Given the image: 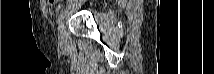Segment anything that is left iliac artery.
<instances>
[{
    "label": "left iliac artery",
    "mask_w": 214,
    "mask_h": 74,
    "mask_svg": "<svg viewBox=\"0 0 214 74\" xmlns=\"http://www.w3.org/2000/svg\"><path fill=\"white\" fill-rule=\"evenodd\" d=\"M65 12H66V10L64 9V10H62L61 13L59 14V16H58V18H57V23H58V24L62 22V20H63V18H64V15H65Z\"/></svg>",
    "instance_id": "44dca946"
}]
</instances>
